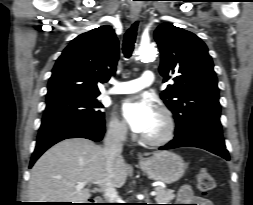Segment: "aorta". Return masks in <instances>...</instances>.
I'll list each match as a JSON object with an SVG mask.
<instances>
[{
  "label": "aorta",
  "instance_id": "obj_1",
  "mask_svg": "<svg viewBox=\"0 0 253 205\" xmlns=\"http://www.w3.org/2000/svg\"><path fill=\"white\" fill-rule=\"evenodd\" d=\"M137 56L142 61L150 62L157 57V50L152 44L141 45L137 50Z\"/></svg>",
  "mask_w": 253,
  "mask_h": 205
}]
</instances>
